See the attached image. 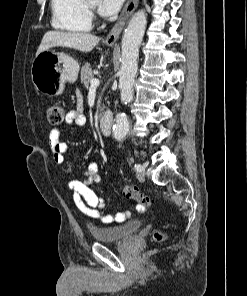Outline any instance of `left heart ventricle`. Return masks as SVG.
<instances>
[{
  "mask_svg": "<svg viewBox=\"0 0 247 296\" xmlns=\"http://www.w3.org/2000/svg\"><path fill=\"white\" fill-rule=\"evenodd\" d=\"M89 3H90L92 6L96 7L97 4H98V0H89Z\"/></svg>",
  "mask_w": 247,
  "mask_h": 296,
  "instance_id": "b2bd125f",
  "label": "left heart ventricle"
}]
</instances>
